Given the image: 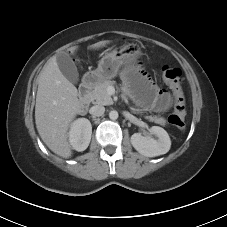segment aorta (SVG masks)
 Masks as SVG:
<instances>
[{
	"mask_svg": "<svg viewBox=\"0 0 227 227\" xmlns=\"http://www.w3.org/2000/svg\"><path fill=\"white\" fill-rule=\"evenodd\" d=\"M109 118L111 120H116L118 118V112L116 110H112L109 113Z\"/></svg>",
	"mask_w": 227,
	"mask_h": 227,
	"instance_id": "762f6f07",
	"label": "aorta"
}]
</instances>
